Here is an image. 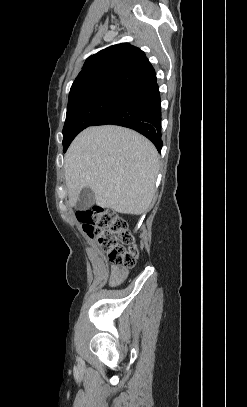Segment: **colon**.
Returning <instances> with one entry per match:
<instances>
[{
	"instance_id": "1",
	"label": "colon",
	"mask_w": 247,
	"mask_h": 407,
	"mask_svg": "<svg viewBox=\"0 0 247 407\" xmlns=\"http://www.w3.org/2000/svg\"><path fill=\"white\" fill-rule=\"evenodd\" d=\"M77 219L85 234L96 240L112 263L125 268L134 267L138 249L132 243L126 223L112 210L102 207L80 210ZM124 244L128 247H124Z\"/></svg>"
}]
</instances>
